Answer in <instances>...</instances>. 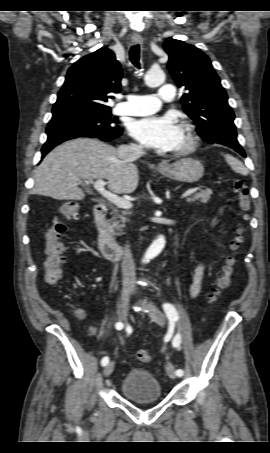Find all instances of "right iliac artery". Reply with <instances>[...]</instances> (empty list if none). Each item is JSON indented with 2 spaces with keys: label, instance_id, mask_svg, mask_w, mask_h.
Segmentation results:
<instances>
[{
  "label": "right iliac artery",
  "instance_id": "obj_1",
  "mask_svg": "<svg viewBox=\"0 0 270 453\" xmlns=\"http://www.w3.org/2000/svg\"><path fill=\"white\" fill-rule=\"evenodd\" d=\"M117 330L123 329V323L122 322H117L115 325ZM109 363V357L105 356L102 358L101 364L102 366H106Z\"/></svg>",
  "mask_w": 270,
  "mask_h": 453
}]
</instances>
